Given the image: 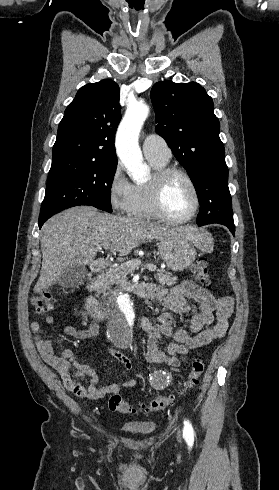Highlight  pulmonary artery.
Listing matches in <instances>:
<instances>
[{
	"label": "pulmonary artery",
	"mask_w": 279,
	"mask_h": 490,
	"mask_svg": "<svg viewBox=\"0 0 279 490\" xmlns=\"http://www.w3.org/2000/svg\"><path fill=\"white\" fill-rule=\"evenodd\" d=\"M143 153L148 160H155L159 163H166L172 156L166 140L158 133L152 132L145 136Z\"/></svg>",
	"instance_id": "1"
}]
</instances>
